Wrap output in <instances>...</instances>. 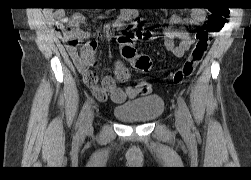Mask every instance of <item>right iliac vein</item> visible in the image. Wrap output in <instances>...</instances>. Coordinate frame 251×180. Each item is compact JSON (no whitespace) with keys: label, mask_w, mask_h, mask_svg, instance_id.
Returning <instances> with one entry per match:
<instances>
[{"label":"right iliac vein","mask_w":251,"mask_h":180,"mask_svg":"<svg viewBox=\"0 0 251 180\" xmlns=\"http://www.w3.org/2000/svg\"><path fill=\"white\" fill-rule=\"evenodd\" d=\"M93 118H94V113L92 110H90L85 118L83 124V131L88 132L91 129Z\"/></svg>","instance_id":"right-iliac-vein-1"}]
</instances>
